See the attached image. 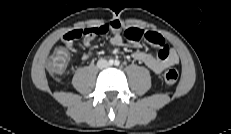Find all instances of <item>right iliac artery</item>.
Listing matches in <instances>:
<instances>
[{"mask_svg":"<svg viewBox=\"0 0 231 134\" xmlns=\"http://www.w3.org/2000/svg\"><path fill=\"white\" fill-rule=\"evenodd\" d=\"M114 63V60L113 59H110L109 60V64L112 65Z\"/></svg>","mask_w":231,"mask_h":134,"instance_id":"82829eb1","label":"right iliac artery"}]
</instances>
